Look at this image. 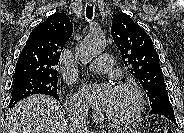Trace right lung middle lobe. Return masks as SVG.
<instances>
[{
    "mask_svg": "<svg viewBox=\"0 0 184 133\" xmlns=\"http://www.w3.org/2000/svg\"><path fill=\"white\" fill-rule=\"evenodd\" d=\"M56 77L27 76L13 78L12 99L9 103L11 108L18 101L34 94H45L59 99L57 94Z\"/></svg>",
    "mask_w": 184,
    "mask_h": 133,
    "instance_id": "right-lung-middle-lobe-1",
    "label": "right lung middle lobe"
}]
</instances>
